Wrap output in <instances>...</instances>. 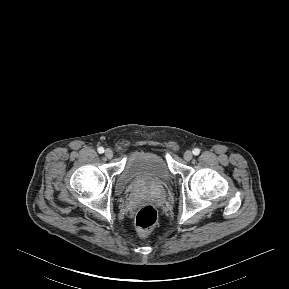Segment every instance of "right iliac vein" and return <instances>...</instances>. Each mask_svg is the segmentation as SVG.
<instances>
[{"mask_svg":"<svg viewBox=\"0 0 289 289\" xmlns=\"http://www.w3.org/2000/svg\"><path fill=\"white\" fill-rule=\"evenodd\" d=\"M105 156L106 158L111 159L113 157V151L111 149H106Z\"/></svg>","mask_w":289,"mask_h":289,"instance_id":"1","label":"right iliac vein"}]
</instances>
